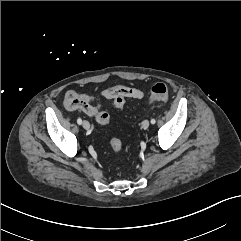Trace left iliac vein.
Returning a JSON list of instances; mask_svg holds the SVG:
<instances>
[{
	"label": "left iliac vein",
	"instance_id": "left-iliac-vein-1",
	"mask_svg": "<svg viewBox=\"0 0 241 241\" xmlns=\"http://www.w3.org/2000/svg\"><path fill=\"white\" fill-rule=\"evenodd\" d=\"M149 125H150V122L148 120H144L142 122V128L143 129H147L149 127Z\"/></svg>",
	"mask_w": 241,
	"mask_h": 241
}]
</instances>
